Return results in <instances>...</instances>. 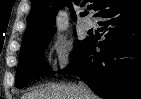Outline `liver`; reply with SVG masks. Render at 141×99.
Instances as JSON below:
<instances>
[{
	"label": "liver",
	"mask_w": 141,
	"mask_h": 99,
	"mask_svg": "<svg viewBox=\"0 0 141 99\" xmlns=\"http://www.w3.org/2000/svg\"><path fill=\"white\" fill-rule=\"evenodd\" d=\"M21 99H84L75 84H49L26 93ZM92 99H99L93 94Z\"/></svg>",
	"instance_id": "6515ba94"
}]
</instances>
